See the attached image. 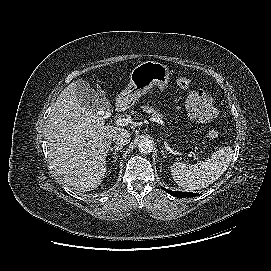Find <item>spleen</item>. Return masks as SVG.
<instances>
[{"mask_svg": "<svg viewBox=\"0 0 271 271\" xmlns=\"http://www.w3.org/2000/svg\"><path fill=\"white\" fill-rule=\"evenodd\" d=\"M233 156L231 147H223L214 152L211 159L188 165L176 162L171 167L174 181L182 188L200 190L216 181L228 168Z\"/></svg>", "mask_w": 271, "mask_h": 271, "instance_id": "spleen-1", "label": "spleen"}]
</instances>
